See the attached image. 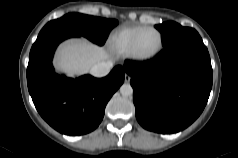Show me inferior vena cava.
I'll list each match as a JSON object with an SVG mask.
<instances>
[{
    "instance_id": "inferior-vena-cava-1",
    "label": "inferior vena cava",
    "mask_w": 238,
    "mask_h": 158,
    "mask_svg": "<svg viewBox=\"0 0 238 158\" xmlns=\"http://www.w3.org/2000/svg\"><path fill=\"white\" fill-rule=\"evenodd\" d=\"M112 65H113V63L111 61L99 62L91 67L90 73L94 77H104L109 74Z\"/></svg>"
}]
</instances>
